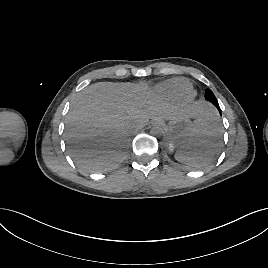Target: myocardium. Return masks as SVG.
Wrapping results in <instances>:
<instances>
[{"mask_svg":"<svg viewBox=\"0 0 268 268\" xmlns=\"http://www.w3.org/2000/svg\"><path fill=\"white\" fill-rule=\"evenodd\" d=\"M184 95H185V100H186L187 102L192 101V100L194 99V97H195L194 92L191 91V90H188Z\"/></svg>","mask_w":268,"mask_h":268,"instance_id":"1","label":"myocardium"}]
</instances>
